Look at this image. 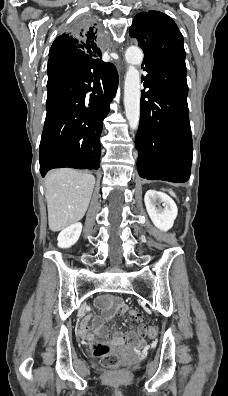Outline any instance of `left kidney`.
Segmentation results:
<instances>
[{
  "instance_id": "left-kidney-1",
  "label": "left kidney",
  "mask_w": 228,
  "mask_h": 396,
  "mask_svg": "<svg viewBox=\"0 0 228 396\" xmlns=\"http://www.w3.org/2000/svg\"><path fill=\"white\" fill-rule=\"evenodd\" d=\"M144 202L151 221L158 229L168 231L172 228L178 213L172 198L162 192L148 190Z\"/></svg>"
}]
</instances>
